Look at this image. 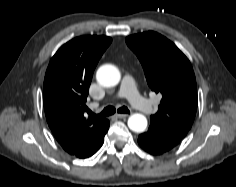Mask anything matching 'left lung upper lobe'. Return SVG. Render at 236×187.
Wrapping results in <instances>:
<instances>
[{
    "instance_id": "left-lung-upper-lobe-1",
    "label": "left lung upper lobe",
    "mask_w": 236,
    "mask_h": 187,
    "mask_svg": "<svg viewBox=\"0 0 236 187\" xmlns=\"http://www.w3.org/2000/svg\"><path fill=\"white\" fill-rule=\"evenodd\" d=\"M139 58L149 87L162 94L151 124L179 138L190 130L197 109V87L187 57L164 36L148 31L126 38Z\"/></svg>"
}]
</instances>
